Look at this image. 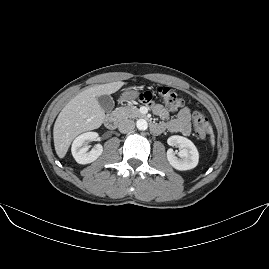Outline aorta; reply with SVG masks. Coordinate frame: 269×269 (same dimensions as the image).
Segmentation results:
<instances>
[{
	"label": "aorta",
	"mask_w": 269,
	"mask_h": 269,
	"mask_svg": "<svg viewBox=\"0 0 269 269\" xmlns=\"http://www.w3.org/2000/svg\"><path fill=\"white\" fill-rule=\"evenodd\" d=\"M147 121L145 119H138L136 121V127L139 129V130H145L147 129Z\"/></svg>",
	"instance_id": "1"
}]
</instances>
